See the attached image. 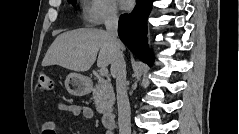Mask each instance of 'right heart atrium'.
Segmentation results:
<instances>
[{"mask_svg":"<svg viewBox=\"0 0 239 134\" xmlns=\"http://www.w3.org/2000/svg\"><path fill=\"white\" fill-rule=\"evenodd\" d=\"M84 20L91 26H99L118 18V11L113 0H88L83 7Z\"/></svg>","mask_w":239,"mask_h":134,"instance_id":"1","label":"right heart atrium"}]
</instances>
